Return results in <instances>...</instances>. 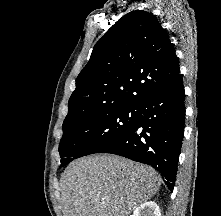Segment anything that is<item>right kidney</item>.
Segmentation results:
<instances>
[{
    "label": "right kidney",
    "instance_id": "obj_1",
    "mask_svg": "<svg viewBox=\"0 0 221 216\" xmlns=\"http://www.w3.org/2000/svg\"><path fill=\"white\" fill-rule=\"evenodd\" d=\"M131 216H161V211L154 201H148L138 206Z\"/></svg>",
    "mask_w": 221,
    "mask_h": 216
}]
</instances>
